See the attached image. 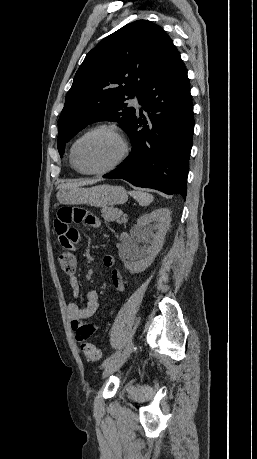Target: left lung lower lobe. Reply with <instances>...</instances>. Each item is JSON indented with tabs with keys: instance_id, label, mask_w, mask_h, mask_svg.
<instances>
[{
	"instance_id": "left-lung-lower-lobe-1",
	"label": "left lung lower lobe",
	"mask_w": 257,
	"mask_h": 459,
	"mask_svg": "<svg viewBox=\"0 0 257 459\" xmlns=\"http://www.w3.org/2000/svg\"><path fill=\"white\" fill-rule=\"evenodd\" d=\"M139 102L148 115L140 110L126 130L131 154L103 177L186 198L194 115L187 71L175 47Z\"/></svg>"
}]
</instances>
